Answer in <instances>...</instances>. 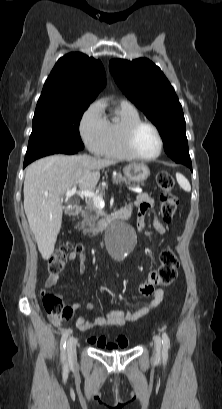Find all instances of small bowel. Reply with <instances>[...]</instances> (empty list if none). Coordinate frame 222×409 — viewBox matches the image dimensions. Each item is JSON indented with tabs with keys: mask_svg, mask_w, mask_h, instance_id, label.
I'll return each instance as SVG.
<instances>
[{
	"mask_svg": "<svg viewBox=\"0 0 222 409\" xmlns=\"http://www.w3.org/2000/svg\"><path fill=\"white\" fill-rule=\"evenodd\" d=\"M155 206L154 200L148 196L146 193L140 194L136 201L125 207L130 213L133 208L138 209V226L142 231L145 228V216L147 212ZM153 228L156 232L163 234L166 232V227L163 222L158 218L153 219ZM79 260V271L83 274L86 271V264L83 256L76 252H72L68 261L73 262ZM162 271L160 269H152L146 281L142 282L137 291L140 297H154V299L146 306L141 309L131 312L129 310L116 309L108 311L105 315L97 316L93 319H88L86 316H81L76 321V327L80 331H87L94 328L108 329L112 326H123L127 322L137 321L149 312L155 309L163 300L164 290L157 289L162 280L160 279ZM60 276L58 274H51L47 277L45 281V289L52 290L58 283ZM44 292V290H42ZM80 305H75L74 308H78ZM95 305L89 304L87 308H94ZM49 319L54 326H60L62 318L50 315ZM87 343L96 346L99 349L107 351L124 350L128 347V341L124 337H118L113 342H108L105 337L102 336H90L87 338Z\"/></svg>",
	"mask_w": 222,
	"mask_h": 409,
	"instance_id": "1",
	"label": "small bowel"
}]
</instances>
